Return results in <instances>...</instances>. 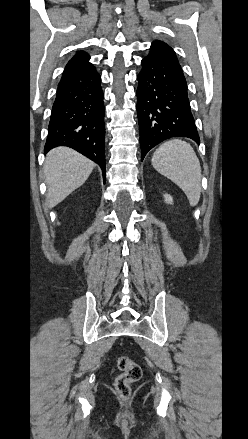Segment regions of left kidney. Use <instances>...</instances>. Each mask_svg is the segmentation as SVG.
<instances>
[{
    "label": "left kidney",
    "instance_id": "left-kidney-1",
    "mask_svg": "<svg viewBox=\"0 0 248 439\" xmlns=\"http://www.w3.org/2000/svg\"><path fill=\"white\" fill-rule=\"evenodd\" d=\"M164 199H165V202H166L167 204H173V198H172L171 195H169V194H165V195H164Z\"/></svg>",
    "mask_w": 248,
    "mask_h": 439
}]
</instances>
